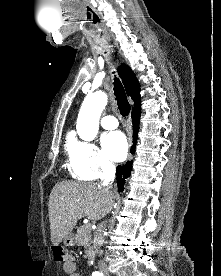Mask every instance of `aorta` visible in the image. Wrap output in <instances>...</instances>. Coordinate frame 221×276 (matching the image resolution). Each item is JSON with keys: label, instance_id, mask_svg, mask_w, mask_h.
Returning <instances> with one entry per match:
<instances>
[{"label": "aorta", "instance_id": "obj_1", "mask_svg": "<svg viewBox=\"0 0 221 276\" xmlns=\"http://www.w3.org/2000/svg\"><path fill=\"white\" fill-rule=\"evenodd\" d=\"M107 100V95L104 92H96L86 96L76 124L77 133L81 139L85 141L95 139L99 130V119Z\"/></svg>", "mask_w": 221, "mask_h": 276}]
</instances>
